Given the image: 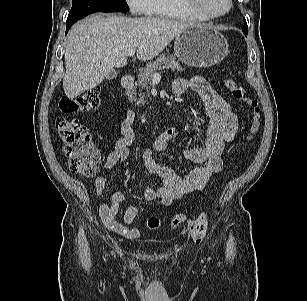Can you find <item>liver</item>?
Returning a JSON list of instances; mask_svg holds the SVG:
<instances>
[{
    "label": "liver",
    "instance_id": "liver-1",
    "mask_svg": "<svg viewBox=\"0 0 307 301\" xmlns=\"http://www.w3.org/2000/svg\"><path fill=\"white\" fill-rule=\"evenodd\" d=\"M191 23L161 17L93 15L76 23L64 53L63 89L69 99L99 85L114 67L127 65V52L150 60Z\"/></svg>",
    "mask_w": 307,
    "mask_h": 301
}]
</instances>
